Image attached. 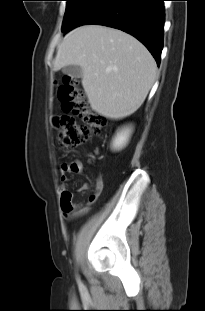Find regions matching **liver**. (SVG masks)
<instances>
[{"mask_svg":"<svg viewBox=\"0 0 205 311\" xmlns=\"http://www.w3.org/2000/svg\"><path fill=\"white\" fill-rule=\"evenodd\" d=\"M82 68V85L91 108L110 119L133 114L144 102L157 66L149 51L118 29L85 25L69 32L59 45L54 71Z\"/></svg>","mask_w":205,"mask_h":311,"instance_id":"obj_1","label":"liver"}]
</instances>
